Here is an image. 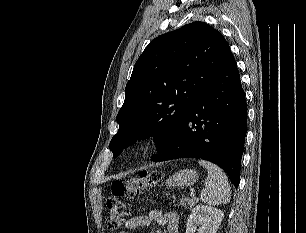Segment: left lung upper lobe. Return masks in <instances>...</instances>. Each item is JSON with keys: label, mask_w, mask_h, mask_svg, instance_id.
Masks as SVG:
<instances>
[{"label": "left lung upper lobe", "mask_w": 306, "mask_h": 233, "mask_svg": "<svg viewBox=\"0 0 306 233\" xmlns=\"http://www.w3.org/2000/svg\"><path fill=\"white\" fill-rule=\"evenodd\" d=\"M229 54L223 35L204 22L152 40L126 85L119 130L109 146L113 157L150 136L161 152Z\"/></svg>", "instance_id": "obj_1"}]
</instances>
